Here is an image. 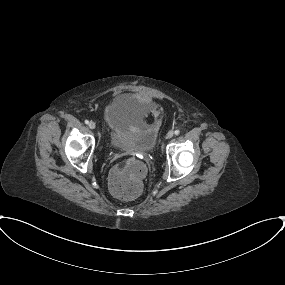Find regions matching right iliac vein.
Instances as JSON below:
<instances>
[{
    "mask_svg": "<svg viewBox=\"0 0 285 285\" xmlns=\"http://www.w3.org/2000/svg\"><path fill=\"white\" fill-rule=\"evenodd\" d=\"M89 128H90V129H95V128H96V124H95L94 121H90V122H89Z\"/></svg>",
    "mask_w": 285,
    "mask_h": 285,
    "instance_id": "right-iliac-vein-1",
    "label": "right iliac vein"
}]
</instances>
